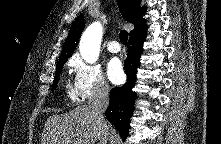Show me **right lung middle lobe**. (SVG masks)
Instances as JSON below:
<instances>
[{
    "label": "right lung middle lobe",
    "mask_w": 221,
    "mask_h": 144,
    "mask_svg": "<svg viewBox=\"0 0 221 144\" xmlns=\"http://www.w3.org/2000/svg\"><path fill=\"white\" fill-rule=\"evenodd\" d=\"M63 65H64V63H59V64H57V67H56V75H55V78H54L52 90H55V88H56V86H57L58 78H59V75H60V72H61V70H62V66H63Z\"/></svg>",
    "instance_id": "dd1d6c3e"
}]
</instances>
